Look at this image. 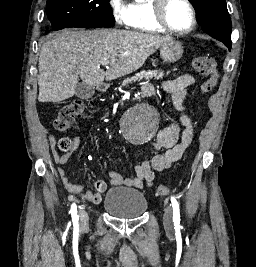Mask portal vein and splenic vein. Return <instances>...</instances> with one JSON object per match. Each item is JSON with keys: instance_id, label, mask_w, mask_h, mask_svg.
Masks as SVG:
<instances>
[{"instance_id": "1", "label": "portal vein and splenic vein", "mask_w": 256, "mask_h": 267, "mask_svg": "<svg viewBox=\"0 0 256 267\" xmlns=\"http://www.w3.org/2000/svg\"><path fill=\"white\" fill-rule=\"evenodd\" d=\"M102 66H108V64H106V62H103Z\"/></svg>"}]
</instances>
